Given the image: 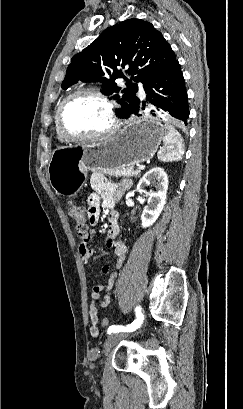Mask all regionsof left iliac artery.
<instances>
[{
  "instance_id": "obj_1",
  "label": "left iliac artery",
  "mask_w": 243,
  "mask_h": 409,
  "mask_svg": "<svg viewBox=\"0 0 243 409\" xmlns=\"http://www.w3.org/2000/svg\"><path fill=\"white\" fill-rule=\"evenodd\" d=\"M136 312V320L131 324L127 326H122V325H117V326H111L108 329V334L112 333H118V332H133L136 329H138L141 324L143 323L144 315L142 313V309L140 306H137L135 308Z\"/></svg>"
}]
</instances>
